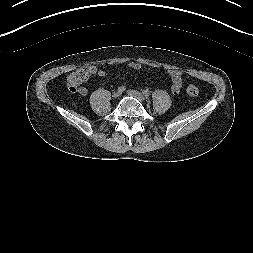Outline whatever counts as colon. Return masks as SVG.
<instances>
[{"mask_svg":"<svg viewBox=\"0 0 253 253\" xmlns=\"http://www.w3.org/2000/svg\"><path fill=\"white\" fill-rule=\"evenodd\" d=\"M91 75L89 67H81L75 70L67 79V86L70 91L78 92ZM187 94L190 97H196L199 94V89L196 85L190 84L186 89Z\"/></svg>","mask_w":253,"mask_h":253,"instance_id":"1","label":"colon"}]
</instances>
